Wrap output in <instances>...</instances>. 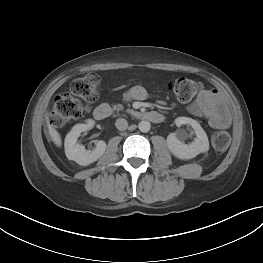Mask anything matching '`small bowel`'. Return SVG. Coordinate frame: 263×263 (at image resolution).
Wrapping results in <instances>:
<instances>
[{"label": "small bowel", "instance_id": "small-bowel-1", "mask_svg": "<svg viewBox=\"0 0 263 263\" xmlns=\"http://www.w3.org/2000/svg\"><path fill=\"white\" fill-rule=\"evenodd\" d=\"M147 90L140 85L131 87L125 94L126 100H144ZM191 114L205 117L213 128H227L231 123L228 110L222 97L216 90H203L197 98L188 106Z\"/></svg>", "mask_w": 263, "mask_h": 263}]
</instances>
